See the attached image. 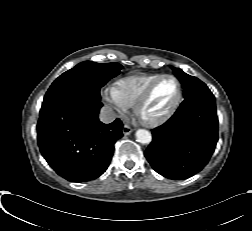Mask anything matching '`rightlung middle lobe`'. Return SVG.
Segmentation results:
<instances>
[{
    "instance_id": "obj_1",
    "label": "right lung middle lobe",
    "mask_w": 252,
    "mask_h": 231,
    "mask_svg": "<svg viewBox=\"0 0 252 231\" xmlns=\"http://www.w3.org/2000/svg\"><path fill=\"white\" fill-rule=\"evenodd\" d=\"M118 63L81 62L59 76L48 89L43 104L71 95L87 96L100 100V89L111 78L120 74ZM42 104V105H43Z\"/></svg>"
}]
</instances>
